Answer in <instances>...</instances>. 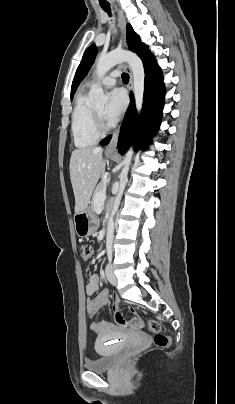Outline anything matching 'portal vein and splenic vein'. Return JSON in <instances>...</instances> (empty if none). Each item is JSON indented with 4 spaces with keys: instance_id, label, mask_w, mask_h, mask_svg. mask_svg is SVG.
I'll return each mask as SVG.
<instances>
[{
    "instance_id": "obj_1",
    "label": "portal vein and splenic vein",
    "mask_w": 235,
    "mask_h": 404,
    "mask_svg": "<svg viewBox=\"0 0 235 404\" xmlns=\"http://www.w3.org/2000/svg\"><path fill=\"white\" fill-rule=\"evenodd\" d=\"M105 200H106L105 191H100L96 194V196H95L96 204L102 205V204H104Z\"/></svg>"
}]
</instances>
